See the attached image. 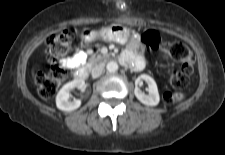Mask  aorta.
I'll return each instance as SVG.
<instances>
[{"mask_svg": "<svg viewBox=\"0 0 225 155\" xmlns=\"http://www.w3.org/2000/svg\"><path fill=\"white\" fill-rule=\"evenodd\" d=\"M106 69L108 72L114 73L118 70V63L115 61H110L107 63Z\"/></svg>", "mask_w": 225, "mask_h": 155, "instance_id": "aorta-1", "label": "aorta"}]
</instances>
